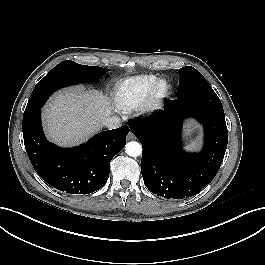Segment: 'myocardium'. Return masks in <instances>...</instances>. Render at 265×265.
Segmentation results:
<instances>
[{
	"label": "myocardium",
	"mask_w": 265,
	"mask_h": 265,
	"mask_svg": "<svg viewBox=\"0 0 265 265\" xmlns=\"http://www.w3.org/2000/svg\"><path fill=\"white\" fill-rule=\"evenodd\" d=\"M172 86L167 79H158L149 91L144 102L140 105V112L144 115H151L160 111L165 101L171 94Z\"/></svg>",
	"instance_id": "obj_1"
}]
</instances>
